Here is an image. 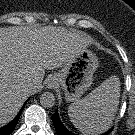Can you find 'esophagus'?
Masks as SVG:
<instances>
[{
  "instance_id": "obj_1",
  "label": "esophagus",
  "mask_w": 135,
  "mask_h": 135,
  "mask_svg": "<svg viewBox=\"0 0 135 135\" xmlns=\"http://www.w3.org/2000/svg\"><path fill=\"white\" fill-rule=\"evenodd\" d=\"M49 87H50V88H53V87H54V84H53V83H50V84H49Z\"/></svg>"
}]
</instances>
